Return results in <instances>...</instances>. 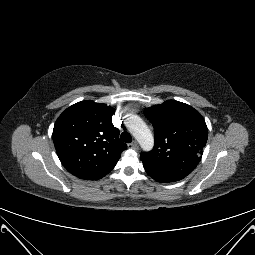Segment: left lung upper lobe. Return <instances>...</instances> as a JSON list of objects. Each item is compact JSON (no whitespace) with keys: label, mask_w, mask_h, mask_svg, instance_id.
Segmentation results:
<instances>
[{"label":"left lung upper lobe","mask_w":255,"mask_h":255,"mask_svg":"<svg viewBox=\"0 0 255 255\" xmlns=\"http://www.w3.org/2000/svg\"><path fill=\"white\" fill-rule=\"evenodd\" d=\"M154 127V148L140 156L147 174L158 182H175L190 174L201 160L208 130L193 107L167 100L144 111Z\"/></svg>","instance_id":"left-lung-upper-lobe-1"}]
</instances>
